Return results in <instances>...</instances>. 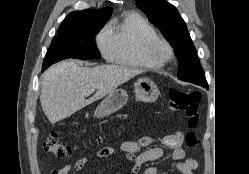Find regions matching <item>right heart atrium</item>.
I'll list each match as a JSON object with an SVG mask.
<instances>
[{"label": "right heart atrium", "instance_id": "1", "mask_svg": "<svg viewBox=\"0 0 249 174\" xmlns=\"http://www.w3.org/2000/svg\"><path fill=\"white\" fill-rule=\"evenodd\" d=\"M96 45L105 59H110L113 51V40L109 29L103 28L96 36Z\"/></svg>", "mask_w": 249, "mask_h": 174}]
</instances>
